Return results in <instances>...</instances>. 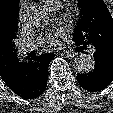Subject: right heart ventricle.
Masks as SVG:
<instances>
[{
    "mask_svg": "<svg viewBox=\"0 0 113 113\" xmlns=\"http://www.w3.org/2000/svg\"><path fill=\"white\" fill-rule=\"evenodd\" d=\"M42 3L50 8V9H56L59 7L61 0H41Z\"/></svg>",
    "mask_w": 113,
    "mask_h": 113,
    "instance_id": "1",
    "label": "right heart ventricle"
}]
</instances>
